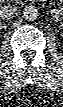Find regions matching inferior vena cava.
<instances>
[{"label":"inferior vena cava","mask_w":63,"mask_h":107,"mask_svg":"<svg viewBox=\"0 0 63 107\" xmlns=\"http://www.w3.org/2000/svg\"><path fill=\"white\" fill-rule=\"evenodd\" d=\"M17 15V7L15 5L2 6L0 9V16L2 19H12Z\"/></svg>","instance_id":"obj_1"}]
</instances>
